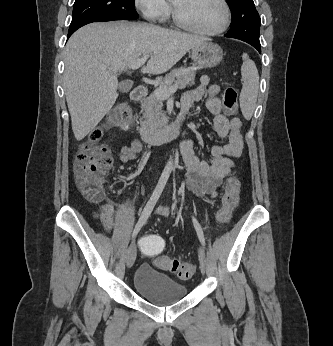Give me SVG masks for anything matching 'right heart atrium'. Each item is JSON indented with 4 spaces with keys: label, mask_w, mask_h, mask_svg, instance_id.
I'll use <instances>...</instances> for the list:
<instances>
[{
    "label": "right heart atrium",
    "mask_w": 333,
    "mask_h": 346,
    "mask_svg": "<svg viewBox=\"0 0 333 346\" xmlns=\"http://www.w3.org/2000/svg\"><path fill=\"white\" fill-rule=\"evenodd\" d=\"M136 7L151 21L164 20L171 8L166 0H134Z\"/></svg>",
    "instance_id": "obj_1"
}]
</instances>
